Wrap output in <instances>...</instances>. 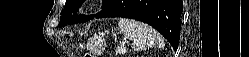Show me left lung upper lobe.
Segmentation results:
<instances>
[{
    "label": "left lung upper lobe",
    "mask_w": 249,
    "mask_h": 57,
    "mask_svg": "<svg viewBox=\"0 0 249 57\" xmlns=\"http://www.w3.org/2000/svg\"><path fill=\"white\" fill-rule=\"evenodd\" d=\"M84 0H67L65 3V8L61 12L60 23L59 26H65L66 24H73V23H83L91 18L97 16L99 13L103 12L112 2L113 0H103L104 7L101 12L95 15L83 16V15H76L79 7L82 5Z\"/></svg>",
    "instance_id": "5c2ea615"
}]
</instances>
